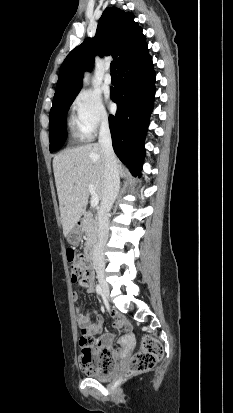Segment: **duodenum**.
<instances>
[{"mask_svg":"<svg viewBox=\"0 0 233 413\" xmlns=\"http://www.w3.org/2000/svg\"><path fill=\"white\" fill-rule=\"evenodd\" d=\"M78 224L80 225L81 222H78ZM93 252H94V247L92 245H89L86 249L85 252V256H86V260L91 262L93 259Z\"/></svg>","mask_w":233,"mask_h":413,"instance_id":"1","label":"duodenum"}]
</instances>
